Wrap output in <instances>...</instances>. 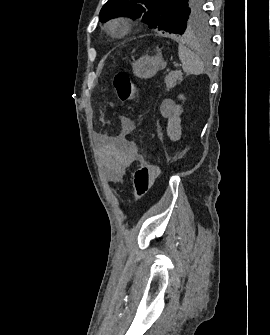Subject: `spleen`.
I'll list each match as a JSON object with an SVG mask.
<instances>
[{"mask_svg":"<svg viewBox=\"0 0 270 335\" xmlns=\"http://www.w3.org/2000/svg\"><path fill=\"white\" fill-rule=\"evenodd\" d=\"M178 42V56L180 62L183 64V72H186V74H195V76L203 74L204 64L201 58L184 46V38H179Z\"/></svg>","mask_w":270,"mask_h":335,"instance_id":"1","label":"spleen"}]
</instances>
